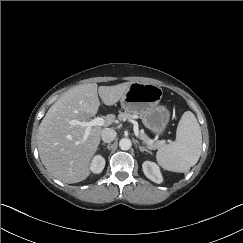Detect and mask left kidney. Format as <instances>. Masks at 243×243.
Returning a JSON list of instances; mask_svg holds the SVG:
<instances>
[{
	"label": "left kidney",
	"mask_w": 243,
	"mask_h": 243,
	"mask_svg": "<svg viewBox=\"0 0 243 243\" xmlns=\"http://www.w3.org/2000/svg\"><path fill=\"white\" fill-rule=\"evenodd\" d=\"M143 172L147 178L155 183L163 182V178L158 165L151 161H145L142 164Z\"/></svg>",
	"instance_id": "obj_1"
}]
</instances>
